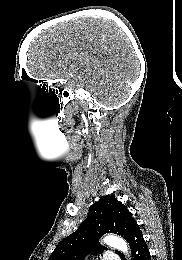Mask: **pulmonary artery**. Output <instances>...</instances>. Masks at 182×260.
<instances>
[{"instance_id": "pulmonary-artery-1", "label": "pulmonary artery", "mask_w": 182, "mask_h": 260, "mask_svg": "<svg viewBox=\"0 0 182 260\" xmlns=\"http://www.w3.org/2000/svg\"><path fill=\"white\" fill-rule=\"evenodd\" d=\"M103 260H120V258L118 255L108 252L104 254Z\"/></svg>"}]
</instances>
